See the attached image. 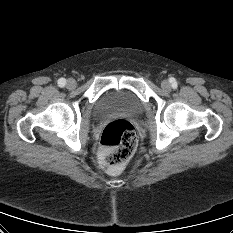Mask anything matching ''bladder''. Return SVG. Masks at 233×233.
<instances>
[{"instance_id": "1", "label": "bladder", "mask_w": 233, "mask_h": 233, "mask_svg": "<svg viewBox=\"0 0 233 233\" xmlns=\"http://www.w3.org/2000/svg\"><path fill=\"white\" fill-rule=\"evenodd\" d=\"M142 100L130 90H108L94 104L93 115L103 118L112 114L139 115L143 111Z\"/></svg>"}]
</instances>
